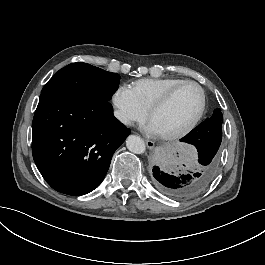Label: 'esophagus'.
I'll return each instance as SVG.
<instances>
[{
    "instance_id": "34e87169",
    "label": "esophagus",
    "mask_w": 265,
    "mask_h": 265,
    "mask_svg": "<svg viewBox=\"0 0 265 265\" xmlns=\"http://www.w3.org/2000/svg\"><path fill=\"white\" fill-rule=\"evenodd\" d=\"M145 143H146V146H147V148L148 149H153L154 148V142L153 141H151V140H148V139H145Z\"/></svg>"
}]
</instances>
